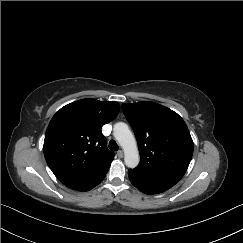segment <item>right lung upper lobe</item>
I'll use <instances>...</instances> for the list:
<instances>
[{
  "instance_id": "cb5924a9",
  "label": "right lung upper lobe",
  "mask_w": 243,
  "mask_h": 243,
  "mask_svg": "<svg viewBox=\"0 0 243 243\" xmlns=\"http://www.w3.org/2000/svg\"><path fill=\"white\" fill-rule=\"evenodd\" d=\"M119 113V104L87 98L67 104L51 119L44 140V156L66 186L109 167L115 154L101 132Z\"/></svg>"
}]
</instances>
